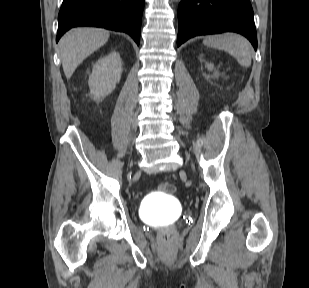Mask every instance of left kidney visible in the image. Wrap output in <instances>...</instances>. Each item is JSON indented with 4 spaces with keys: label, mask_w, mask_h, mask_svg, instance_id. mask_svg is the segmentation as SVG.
<instances>
[{
    "label": "left kidney",
    "mask_w": 309,
    "mask_h": 288,
    "mask_svg": "<svg viewBox=\"0 0 309 288\" xmlns=\"http://www.w3.org/2000/svg\"><path fill=\"white\" fill-rule=\"evenodd\" d=\"M206 67L208 70H213L214 65L212 63H206Z\"/></svg>",
    "instance_id": "5707ae66"
}]
</instances>
